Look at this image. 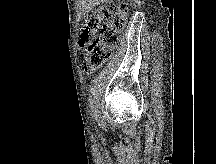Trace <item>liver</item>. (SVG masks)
I'll return each instance as SVG.
<instances>
[{
  "mask_svg": "<svg viewBox=\"0 0 216 164\" xmlns=\"http://www.w3.org/2000/svg\"><path fill=\"white\" fill-rule=\"evenodd\" d=\"M88 2L87 4L84 5V10L85 11H90L92 10L93 7L99 5L100 3H106L109 0H84V2Z\"/></svg>",
  "mask_w": 216,
  "mask_h": 164,
  "instance_id": "6515ba94",
  "label": "liver"
}]
</instances>
